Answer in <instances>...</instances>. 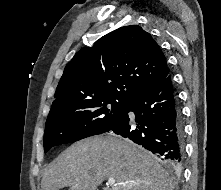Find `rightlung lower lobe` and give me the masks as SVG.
Segmentation results:
<instances>
[{"mask_svg":"<svg viewBox=\"0 0 221 190\" xmlns=\"http://www.w3.org/2000/svg\"><path fill=\"white\" fill-rule=\"evenodd\" d=\"M105 133H115L179 168L184 153L181 109L171 76L126 100L121 120Z\"/></svg>","mask_w":221,"mask_h":190,"instance_id":"right-lung-lower-lobe-1","label":"right lung lower lobe"}]
</instances>
